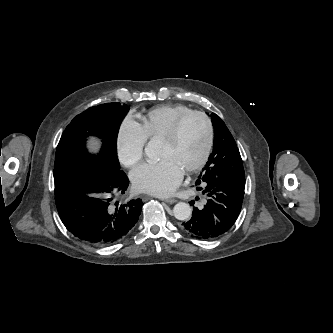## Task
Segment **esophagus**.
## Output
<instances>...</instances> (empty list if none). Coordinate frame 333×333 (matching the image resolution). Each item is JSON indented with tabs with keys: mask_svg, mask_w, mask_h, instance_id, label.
Here are the masks:
<instances>
[{
	"mask_svg": "<svg viewBox=\"0 0 333 333\" xmlns=\"http://www.w3.org/2000/svg\"><path fill=\"white\" fill-rule=\"evenodd\" d=\"M142 198H147V196H142ZM163 201H165L166 203H169V204H173V203H175V202H177V200L176 199H174V198H165V199H162Z\"/></svg>",
	"mask_w": 333,
	"mask_h": 333,
	"instance_id": "esophagus-1",
	"label": "esophagus"
}]
</instances>
